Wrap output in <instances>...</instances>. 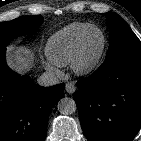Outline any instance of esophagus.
Masks as SVG:
<instances>
[{"label": "esophagus", "mask_w": 141, "mask_h": 141, "mask_svg": "<svg viewBox=\"0 0 141 141\" xmlns=\"http://www.w3.org/2000/svg\"><path fill=\"white\" fill-rule=\"evenodd\" d=\"M65 90L69 94H73L76 91L75 84L73 82H68L65 86Z\"/></svg>", "instance_id": "34e87169"}]
</instances>
